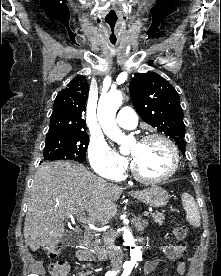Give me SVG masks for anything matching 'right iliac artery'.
<instances>
[{
	"mask_svg": "<svg viewBox=\"0 0 221 276\" xmlns=\"http://www.w3.org/2000/svg\"><path fill=\"white\" fill-rule=\"evenodd\" d=\"M116 274H117L116 271H109V272L106 273L105 276H115Z\"/></svg>",
	"mask_w": 221,
	"mask_h": 276,
	"instance_id": "82829eb1",
	"label": "right iliac artery"
}]
</instances>
